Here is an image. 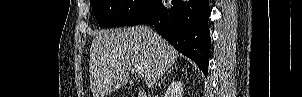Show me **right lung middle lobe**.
Returning <instances> with one entry per match:
<instances>
[{"mask_svg":"<svg viewBox=\"0 0 302 97\" xmlns=\"http://www.w3.org/2000/svg\"><path fill=\"white\" fill-rule=\"evenodd\" d=\"M148 0H90L93 14L100 27L126 25Z\"/></svg>","mask_w":302,"mask_h":97,"instance_id":"right-lung-middle-lobe-1","label":"right lung middle lobe"}]
</instances>
